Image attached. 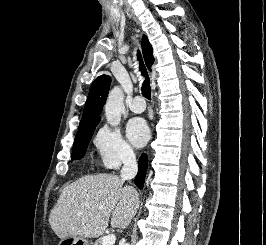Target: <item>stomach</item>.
<instances>
[{
	"instance_id": "0dacf381",
	"label": "stomach",
	"mask_w": 266,
	"mask_h": 245,
	"mask_svg": "<svg viewBox=\"0 0 266 245\" xmlns=\"http://www.w3.org/2000/svg\"><path fill=\"white\" fill-rule=\"evenodd\" d=\"M64 242H73V245H89L86 237H64Z\"/></svg>"
}]
</instances>
